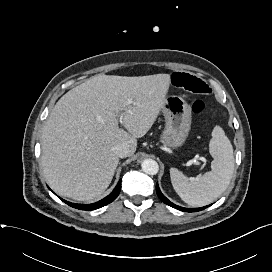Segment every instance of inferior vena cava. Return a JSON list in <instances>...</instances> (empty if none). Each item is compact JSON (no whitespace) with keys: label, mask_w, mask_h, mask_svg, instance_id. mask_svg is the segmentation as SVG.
<instances>
[{"label":"inferior vena cava","mask_w":272,"mask_h":272,"mask_svg":"<svg viewBox=\"0 0 272 272\" xmlns=\"http://www.w3.org/2000/svg\"><path fill=\"white\" fill-rule=\"evenodd\" d=\"M112 151L120 158L129 156V148L126 143H120L112 148Z\"/></svg>","instance_id":"1"}]
</instances>
